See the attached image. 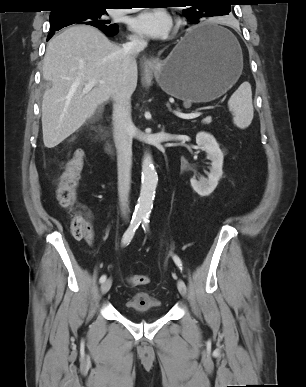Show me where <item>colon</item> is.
I'll return each instance as SVG.
<instances>
[{
    "label": "colon",
    "instance_id": "obj_1",
    "mask_svg": "<svg viewBox=\"0 0 306 387\" xmlns=\"http://www.w3.org/2000/svg\"><path fill=\"white\" fill-rule=\"evenodd\" d=\"M84 165V152L78 149L67 162L65 169L56 182V198L61 207L71 211L70 230L75 238H84L90 225L87 217L76 210L77 186ZM131 286H142L149 283L146 275L135 274L127 278Z\"/></svg>",
    "mask_w": 306,
    "mask_h": 387
}]
</instances>
